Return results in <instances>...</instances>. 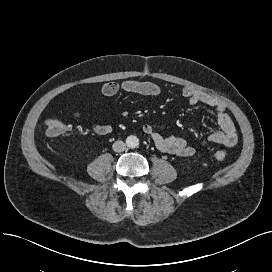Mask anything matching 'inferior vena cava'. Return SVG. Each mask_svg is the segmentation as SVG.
Returning <instances> with one entry per match:
<instances>
[{
  "label": "inferior vena cava",
  "mask_w": 272,
  "mask_h": 272,
  "mask_svg": "<svg viewBox=\"0 0 272 272\" xmlns=\"http://www.w3.org/2000/svg\"><path fill=\"white\" fill-rule=\"evenodd\" d=\"M126 149V144L123 141H115L113 143V150L115 152H123Z\"/></svg>",
  "instance_id": "1"
}]
</instances>
